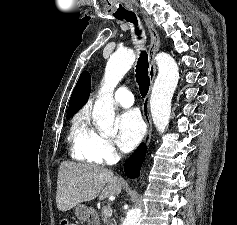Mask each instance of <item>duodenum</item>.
Instances as JSON below:
<instances>
[{
	"mask_svg": "<svg viewBox=\"0 0 237 225\" xmlns=\"http://www.w3.org/2000/svg\"><path fill=\"white\" fill-rule=\"evenodd\" d=\"M92 225H98V222L96 220L92 221Z\"/></svg>",
	"mask_w": 237,
	"mask_h": 225,
	"instance_id": "1",
	"label": "duodenum"
}]
</instances>
